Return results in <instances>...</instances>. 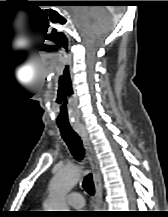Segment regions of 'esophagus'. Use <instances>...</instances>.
Instances as JSON below:
<instances>
[{
  "label": "esophagus",
  "mask_w": 168,
  "mask_h": 217,
  "mask_svg": "<svg viewBox=\"0 0 168 217\" xmlns=\"http://www.w3.org/2000/svg\"><path fill=\"white\" fill-rule=\"evenodd\" d=\"M73 129L80 135L83 141V145L86 151V155L88 157L92 173H93V181L95 185V200L98 208L102 205V194H103V186H102V177L100 173L98 159L95 155L94 149L90 142L88 133L85 127L82 124L75 125Z\"/></svg>",
  "instance_id": "1"
}]
</instances>
